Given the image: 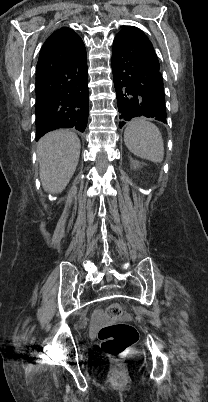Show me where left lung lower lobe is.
Returning <instances> with one entry per match:
<instances>
[{"label": "left lung lower lobe", "mask_w": 208, "mask_h": 402, "mask_svg": "<svg viewBox=\"0 0 208 402\" xmlns=\"http://www.w3.org/2000/svg\"><path fill=\"white\" fill-rule=\"evenodd\" d=\"M147 36L127 26L114 38L113 80L120 113V127L136 117L167 123L163 79L151 63Z\"/></svg>", "instance_id": "1"}]
</instances>
